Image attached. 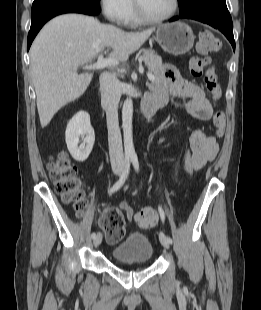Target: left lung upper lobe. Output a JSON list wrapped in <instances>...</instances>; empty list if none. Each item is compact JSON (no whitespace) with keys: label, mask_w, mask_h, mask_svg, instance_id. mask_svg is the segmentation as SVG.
I'll use <instances>...</instances> for the list:
<instances>
[{"label":"left lung upper lobe","mask_w":261,"mask_h":310,"mask_svg":"<svg viewBox=\"0 0 261 310\" xmlns=\"http://www.w3.org/2000/svg\"><path fill=\"white\" fill-rule=\"evenodd\" d=\"M212 0H178L180 16H186L200 10L205 4Z\"/></svg>","instance_id":"left-lung-upper-lobe-1"}]
</instances>
